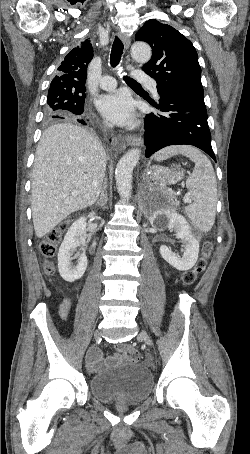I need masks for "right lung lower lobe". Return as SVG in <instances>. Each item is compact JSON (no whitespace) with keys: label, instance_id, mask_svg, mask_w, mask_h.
<instances>
[{"label":"right lung lower lobe","instance_id":"obj_1","mask_svg":"<svg viewBox=\"0 0 250 454\" xmlns=\"http://www.w3.org/2000/svg\"><path fill=\"white\" fill-rule=\"evenodd\" d=\"M77 121L82 123V124H84V125H86V123H85V121L83 119H77Z\"/></svg>","mask_w":250,"mask_h":454}]
</instances>
